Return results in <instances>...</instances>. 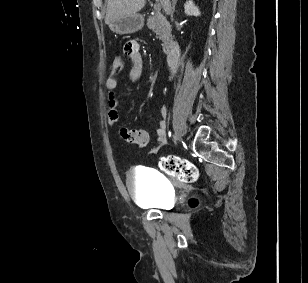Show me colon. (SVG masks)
Wrapping results in <instances>:
<instances>
[{
	"mask_svg": "<svg viewBox=\"0 0 308 283\" xmlns=\"http://www.w3.org/2000/svg\"><path fill=\"white\" fill-rule=\"evenodd\" d=\"M123 61L120 57H115L112 64V72L119 73L122 70ZM161 169L179 179L182 182L192 183L198 178V170L194 164L188 160L179 158L177 156H166L160 161Z\"/></svg>",
	"mask_w": 308,
	"mask_h": 283,
	"instance_id": "1",
	"label": "colon"
}]
</instances>
